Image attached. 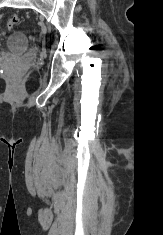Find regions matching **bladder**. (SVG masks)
Here are the masks:
<instances>
[{"label": "bladder", "instance_id": "1", "mask_svg": "<svg viewBox=\"0 0 163 235\" xmlns=\"http://www.w3.org/2000/svg\"><path fill=\"white\" fill-rule=\"evenodd\" d=\"M4 44L12 52H23L29 46V39L24 32L15 31L6 37Z\"/></svg>", "mask_w": 163, "mask_h": 235}]
</instances>
